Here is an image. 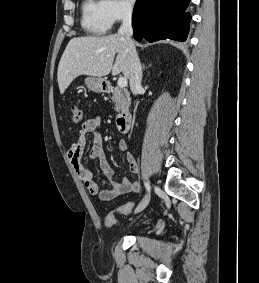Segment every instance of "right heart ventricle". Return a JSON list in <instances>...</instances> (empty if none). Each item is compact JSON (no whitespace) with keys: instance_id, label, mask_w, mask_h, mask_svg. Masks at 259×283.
Segmentation results:
<instances>
[{"instance_id":"obj_1","label":"right heart ventricle","mask_w":259,"mask_h":283,"mask_svg":"<svg viewBox=\"0 0 259 283\" xmlns=\"http://www.w3.org/2000/svg\"><path fill=\"white\" fill-rule=\"evenodd\" d=\"M82 25L91 34H107L112 23L108 19L102 0H85L82 6Z\"/></svg>"}]
</instances>
